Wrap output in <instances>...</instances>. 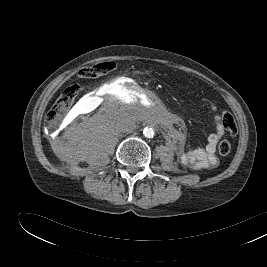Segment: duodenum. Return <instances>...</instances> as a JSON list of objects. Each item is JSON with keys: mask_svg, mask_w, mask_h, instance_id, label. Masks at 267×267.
<instances>
[{"mask_svg": "<svg viewBox=\"0 0 267 267\" xmlns=\"http://www.w3.org/2000/svg\"><path fill=\"white\" fill-rule=\"evenodd\" d=\"M119 89L133 95L147 97L149 100H154L156 98V92L151 88H144L143 86H136L131 83L121 82L119 84Z\"/></svg>", "mask_w": 267, "mask_h": 267, "instance_id": "duodenum-1", "label": "duodenum"}]
</instances>
